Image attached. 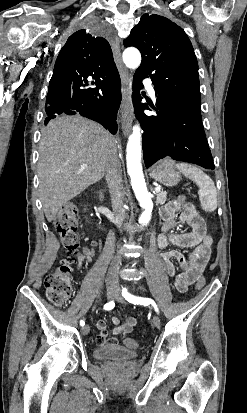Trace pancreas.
<instances>
[{"mask_svg": "<svg viewBox=\"0 0 247 413\" xmlns=\"http://www.w3.org/2000/svg\"><path fill=\"white\" fill-rule=\"evenodd\" d=\"M167 198V192L163 190V192H159L156 196V204H164L165 200Z\"/></svg>", "mask_w": 247, "mask_h": 413, "instance_id": "cf45deb5", "label": "pancreas"}]
</instances>
